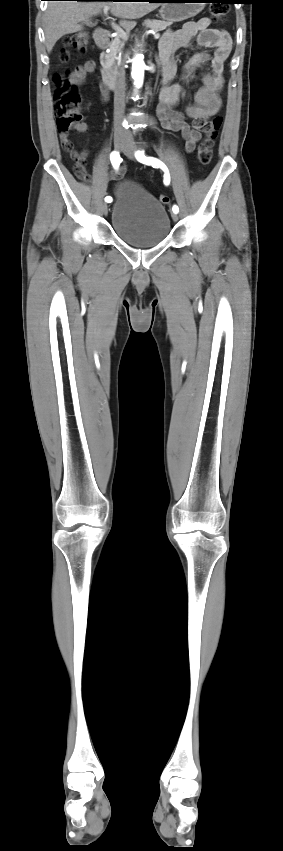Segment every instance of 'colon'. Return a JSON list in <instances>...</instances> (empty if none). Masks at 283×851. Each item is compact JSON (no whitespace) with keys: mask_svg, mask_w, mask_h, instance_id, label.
I'll return each instance as SVG.
<instances>
[{"mask_svg":"<svg viewBox=\"0 0 283 851\" xmlns=\"http://www.w3.org/2000/svg\"><path fill=\"white\" fill-rule=\"evenodd\" d=\"M227 12L228 7L223 4H215L211 7V15L215 21H223ZM88 43L89 35L85 30H79L66 36L60 52L61 62H69L72 50L84 52ZM55 82L57 85L56 95L58 102L55 106L54 114L59 133L67 134L72 128L77 129L86 126L80 110L81 97L77 91V87L70 84L69 80L61 75L55 76ZM222 121L223 119L221 116H214L211 120L207 121L202 128L204 132V139L198 147L197 157L203 165L209 164L212 159V147L221 128ZM74 172L79 179L84 181L89 180V175L83 164L76 163ZM159 200L163 204H168L170 201L166 194L160 195Z\"/></svg>","mask_w":283,"mask_h":851,"instance_id":"5ec220e1","label":"colon"}]
</instances>
